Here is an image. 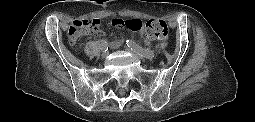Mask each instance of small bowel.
<instances>
[{"mask_svg":"<svg viewBox=\"0 0 255 122\" xmlns=\"http://www.w3.org/2000/svg\"><path fill=\"white\" fill-rule=\"evenodd\" d=\"M142 34H145V32H141ZM95 35H98V36H100V35H102V32L101 31H96L95 32ZM150 41H152V38L151 37H149V36H147V42H150ZM120 46V42L119 41H114L113 43H112V47L113 48H118Z\"/></svg>","mask_w":255,"mask_h":122,"instance_id":"c3829d8e","label":"small bowel"}]
</instances>
